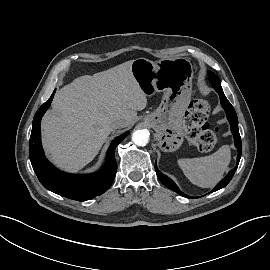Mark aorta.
Returning <instances> with one entry per match:
<instances>
[{
  "instance_id": "1",
  "label": "aorta",
  "mask_w": 270,
  "mask_h": 270,
  "mask_svg": "<svg viewBox=\"0 0 270 270\" xmlns=\"http://www.w3.org/2000/svg\"><path fill=\"white\" fill-rule=\"evenodd\" d=\"M132 141L137 146H145L149 142V132L147 130H136L132 134Z\"/></svg>"
}]
</instances>
